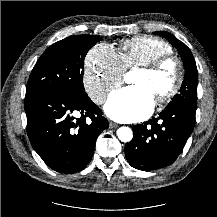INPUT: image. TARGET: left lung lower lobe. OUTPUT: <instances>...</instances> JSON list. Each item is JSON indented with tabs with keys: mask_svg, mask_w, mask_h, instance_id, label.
Segmentation results:
<instances>
[{
	"mask_svg": "<svg viewBox=\"0 0 217 217\" xmlns=\"http://www.w3.org/2000/svg\"><path fill=\"white\" fill-rule=\"evenodd\" d=\"M196 108H165L157 118L133 126V139L125 147L129 164L151 171L172 164L182 152L195 125Z\"/></svg>",
	"mask_w": 217,
	"mask_h": 217,
	"instance_id": "obj_1",
	"label": "left lung lower lobe"
}]
</instances>
